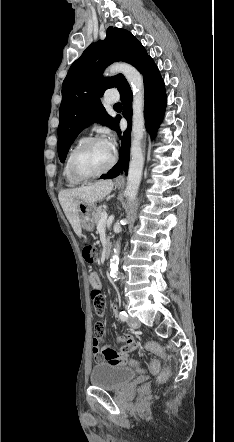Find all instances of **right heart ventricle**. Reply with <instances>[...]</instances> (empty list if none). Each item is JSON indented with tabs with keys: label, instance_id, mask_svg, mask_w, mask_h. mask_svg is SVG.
<instances>
[{
	"label": "right heart ventricle",
	"instance_id": "e07e8e85",
	"mask_svg": "<svg viewBox=\"0 0 234 442\" xmlns=\"http://www.w3.org/2000/svg\"><path fill=\"white\" fill-rule=\"evenodd\" d=\"M83 140H84V138H83V137H80L79 139H77V140L75 141V143H74L73 146L71 147V149H70V151H69V153H68V155H67L66 161H65V165H64V169H63V174H64V176H65V178H66L67 183H68L69 185H71V186H76V185H79L80 183H82V181H79V180L75 179V178L72 176V174H71V172H70V170H69L68 161H69V157H70V154H71V152L73 151V149H74L78 144H80Z\"/></svg>",
	"mask_w": 234,
	"mask_h": 442
}]
</instances>
